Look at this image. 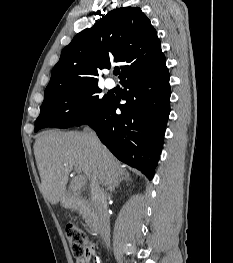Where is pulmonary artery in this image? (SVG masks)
<instances>
[{"instance_id": "pulmonary-artery-1", "label": "pulmonary artery", "mask_w": 233, "mask_h": 263, "mask_svg": "<svg viewBox=\"0 0 233 263\" xmlns=\"http://www.w3.org/2000/svg\"><path fill=\"white\" fill-rule=\"evenodd\" d=\"M105 85L107 88L112 89L115 86V82L112 79H106Z\"/></svg>"}]
</instances>
